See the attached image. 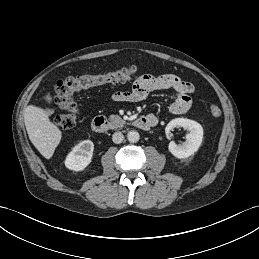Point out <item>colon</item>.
<instances>
[{"mask_svg":"<svg viewBox=\"0 0 259 259\" xmlns=\"http://www.w3.org/2000/svg\"><path fill=\"white\" fill-rule=\"evenodd\" d=\"M137 73L136 67H127L103 74L59 80L56 84L55 102L62 112L56 118L57 125L64 130H70L76 126L78 107L73 99L74 93L107 83H123L135 77ZM209 112L213 117H218L221 114L220 108L216 105H211Z\"/></svg>","mask_w":259,"mask_h":259,"instance_id":"obj_1","label":"colon"}]
</instances>
